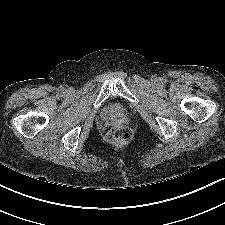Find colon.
<instances>
[{"label": "colon", "mask_w": 225, "mask_h": 225, "mask_svg": "<svg viewBox=\"0 0 225 225\" xmlns=\"http://www.w3.org/2000/svg\"><path fill=\"white\" fill-rule=\"evenodd\" d=\"M131 138V131L128 127L117 125L112 127L106 135L107 141L111 143L126 142Z\"/></svg>", "instance_id": "colon-1"}]
</instances>
